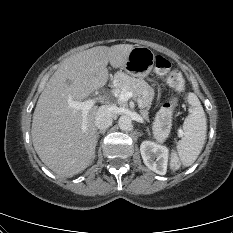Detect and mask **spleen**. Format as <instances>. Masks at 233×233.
<instances>
[{"instance_id":"3e777b00","label":"spleen","mask_w":233,"mask_h":233,"mask_svg":"<svg viewBox=\"0 0 233 233\" xmlns=\"http://www.w3.org/2000/svg\"><path fill=\"white\" fill-rule=\"evenodd\" d=\"M191 107L183 123V137L177 143L178 156L172 158V165L178 168L180 162L188 167L198 158L205 144L207 119L203 107L194 93L188 96Z\"/></svg>"}]
</instances>
